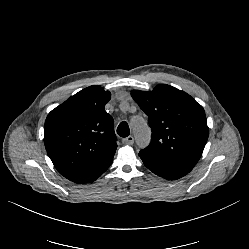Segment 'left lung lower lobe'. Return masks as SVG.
I'll use <instances>...</instances> for the list:
<instances>
[{
  "label": "left lung lower lobe",
  "instance_id": "left-lung-lower-lobe-1",
  "mask_svg": "<svg viewBox=\"0 0 249 249\" xmlns=\"http://www.w3.org/2000/svg\"><path fill=\"white\" fill-rule=\"evenodd\" d=\"M141 159L149 170L168 180L181 178L192 170L191 168L175 165L162 159L146 157H141Z\"/></svg>",
  "mask_w": 249,
  "mask_h": 249
}]
</instances>
